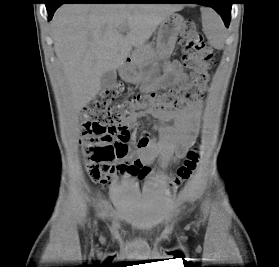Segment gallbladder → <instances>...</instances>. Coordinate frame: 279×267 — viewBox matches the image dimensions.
<instances>
[{"label": "gallbladder", "instance_id": "obj_1", "mask_svg": "<svg viewBox=\"0 0 279 267\" xmlns=\"http://www.w3.org/2000/svg\"><path fill=\"white\" fill-rule=\"evenodd\" d=\"M116 73L113 70H109L103 73L100 80L101 90L112 89L116 85Z\"/></svg>", "mask_w": 279, "mask_h": 267}]
</instances>
